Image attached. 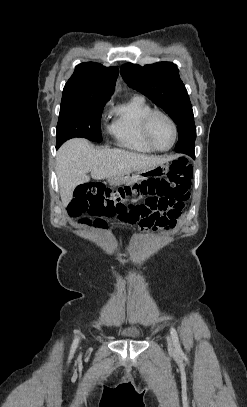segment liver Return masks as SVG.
<instances>
[{
  "instance_id": "liver-1",
  "label": "liver",
  "mask_w": 247,
  "mask_h": 407,
  "mask_svg": "<svg viewBox=\"0 0 247 407\" xmlns=\"http://www.w3.org/2000/svg\"><path fill=\"white\" fill-rule=\"evenodd\" d=\"M174 157L148 156L122 149H95L89 141L71 139L59 149L56 157V174L62 204L72 199L75 187L96 180L132 172L146 171L173 160Z\"/></svg>"
}]
</instances>
